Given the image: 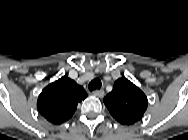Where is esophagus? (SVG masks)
<instances>
[{"instance_id":"1","label":"esophagus","mask_w":188,"mask_h":140,"mask_svg":"<svg viewBox=\"0 0 188 140\" xmlns=\"http://www.w3.org/2000/svg\"><path fill=\"white\" fill-rule=\"evenodd\" d=\"M94 96H97L99 98H102L104 96V90L102 89H96L92 92Z\"/></svg>"}]
</instances>
